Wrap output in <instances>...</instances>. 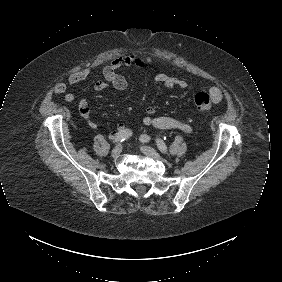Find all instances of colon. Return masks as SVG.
Wrapping results in <instances>:
<instances>
[{
  "mask_svg": "<svg viewBox=\"0 0 282 282\" xmlns=\"http://www.w3.org/2000/svg\"><path fill=\"white\" fill-rule=\"evenodd\" d=\"M197 108L203 112H209L214 104L210 95L205 92H199L194 97Z\"/></svg>",
  "mask_w": 282,
  "mask_h": 282,
  "instance_id": "1",
  "label": "colon"
}]
</instances>
